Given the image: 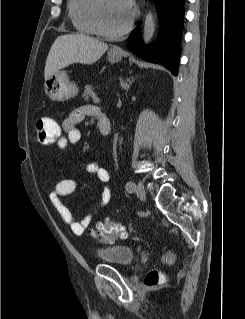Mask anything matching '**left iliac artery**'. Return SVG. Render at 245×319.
<instances>
[{
	"label": "left iliac artery",
	"instance_id": "1",
	"mask_svg": "<svg viewBox=\"0 0 245 319\" xmlns=\"http://www.w3.org/2000/svg\"><path fill=\"white\" fill-rule=\"evenodd\" d=\"M135 189V183L130 181L126 184V190L130 193H132Z\"/></svg>",
	"mask_w": 245,
	"mask_h": 319
}]
</instances>
